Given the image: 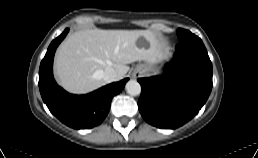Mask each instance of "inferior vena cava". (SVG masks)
<instances>
[{
	"mask_svg": "<svg viewBox=\"0 0 258 158\" xmlns=\"http://www.w3.org/2000/svg\"><path fill=\"white\" fill-rule=\"evenodd\" d=\"M117 77V73L116 71L111 68V67H107L102 74V78L105 82L109 83V82H113L116 80Z\"/></svg>",
	"mask_w": 258,
	"mask_h": 158,
	"instance_id": "1",
	"label": "inferior vena cava"
}]
</instances>
